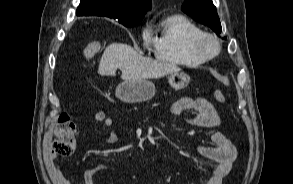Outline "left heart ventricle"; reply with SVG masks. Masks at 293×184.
Here are the masks:
<instances>
[{
    "mask_svg": "<svg viewBox=\"0 0 293 184\" xmlns=\"http://www.w3.org/2000/svg\"><path fill=\"white\" fill-rule=\"evenodd\" d=\"M205 47L209 51H213L214 50V45L211 42H209V41L205 42Z\"/></svg>",
    "mask_w": 293,
    "mask_h": 184,
    "instance_id": "obj_1",
    "label": "left heart ventricle"
}]
</instances>
